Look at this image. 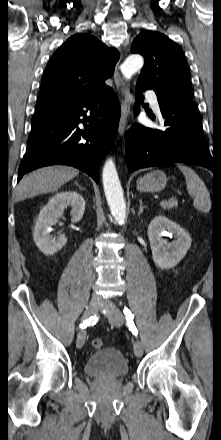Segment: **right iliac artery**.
Listing matches in <instances>:
<instances>
[{
    "mask_svg": "<svg viewBox=\"0 0 221 440\" xmlns=\"http://www.w3.org/2000/svg\"><path fill=\"white\" fill-rule=\"evenodd\" d=\"M96 321H97V317H96V315L95 316H93V317H90L88 320H86V321H83V323L80 325V327L81 328H86L87 327V325H89V324H94V323H96Z\"/></svg>",
    "mask_w": 221,
    "mask_h": 440,
    "instance_id": "right-iliac-artery-1",
    "label": "right iliac artery"
}]
</instances>
